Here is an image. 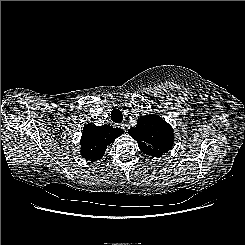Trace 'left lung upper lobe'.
Returning a JSON list of instances; mask_svg holds the SVG:
<instances>
[{
	"label": "left lung upper lobe",
	"instance_id": "left-lung-upper-lobe-1",
	"mask_svg": "<svg viewBox=\"0 0 245 245\" xmlns=\"http://www.w3.org/2000/svg\"><path fill=\"white\" fill-rule=\"evenodd\" d=\"M146 155L158 157L168 152L173 146V129L161 117L145 115L137 120V125L128 130Z\"/></svg>",
	"mask_w": 245,
	"mask_h": 245
}]
</instances>
